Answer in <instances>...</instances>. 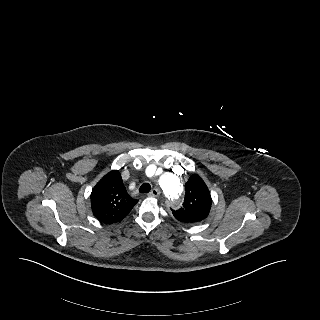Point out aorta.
Here are the masks:
<instances>
[{
    "instance_id": "762f6f07",
    "label": "aorta",
    "mask_w": 320,
    "mask_h": 320,
    "mask_svg": "<svg viewBox=\"0 0 320 320\" xmlns=\"http://www.w3.org/2000/svg\"><path fill=\"white\" fill-rule=\"evenodd\" d=\"M160 185L165 194L168 204L173 208H179L182 205L181 186L176 176L168 173L160 179Z\"/></svg>"
}]
</instances>
